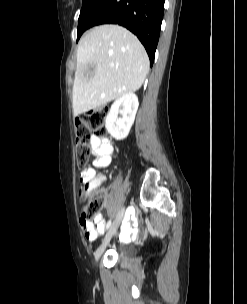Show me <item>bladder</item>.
Wrapping results in <instances>:
<instances>
[{"mask_svg":"<svg viewBox=\"0 0 247 304\" xmlns=\"http://www.w3.org/2000/svg\"><path fill=\"white\" fill-rule=\"evenodd\" d=\"M117 251H118L119 255L122 257H129L134 253L133 249L128 246H120V247H118Z\"/></svg>","mask_w":247,"mask_h":304,"instance_id":"1","label":"bladder"}]
</instances>
